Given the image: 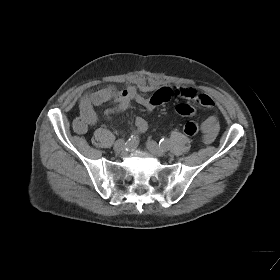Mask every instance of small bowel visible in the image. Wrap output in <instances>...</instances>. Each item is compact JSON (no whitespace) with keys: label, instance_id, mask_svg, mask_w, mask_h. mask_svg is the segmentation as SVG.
Instances as JSON below:
<instances>
[{"label":"small bowel","instance_id":"c3829d8e","mask_svg":"<svg viewBox=\"0 0 280 280\" xmlns=\"http://www.w3.org/2000/svg\"><path fill=\"white\" fill-rule=\"evenodd\" d=\"M175 98L192 100L205 107H212L214 105L213 99L209 95L199 93L191 87H162L154 91L152 95L144 96L132 85L125 86L122 89H117L113 85H107L95 91L88 92L81 98L79 103V117L85 123V127L82 130L76 131L84 133L89 126L94 125L97 121L94 108L104 103H110V106L105 110V114L109 116L125 110L132 102L138 103L147 111H152L158 105ZM189 107L191 113L185 114L184 116L194 115V108L190 105ZM134 124L138 134H142L148 129V123L142 117H136ZM201 130L203 141L205 143L212 142L219 130L218 118L213 115L202 121Z\"/></svg>","mask_w":280,"mask_h":280}]
</instances>
